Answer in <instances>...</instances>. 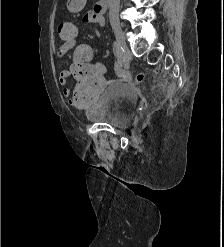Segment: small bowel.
Masks as SVG:
<instances>
[{
  "label": "small bowel",
  "mask_w": 224,
  "mask_h": 247,
  "mask_svg": "<svg viewBox=\"0 0 224 247\" xmlns=\"http://www.w3.org/2000/svg\"><path fill=\"white\" fill-rule=\"evenodd\" d=\"M86 0H67V8L70 12L76 13L79 12L85 4ZM83 21L85 23H95L99 26H104L105 19L104 16L98 12L95 11V9L89 10L85 13L83 16ZM76 46V39H70V40H63L61 45L56 49L55 56L57 59H62L63 56L73 49ZM69 71L62 70L59 72L58 81L61 86H63V95L65 98L68 99L69 103L72 104L71 101V92L66 87L68 78H69Z\"/></svg>",
  "instance_id": "c3829d8e"
}]
</instances>
